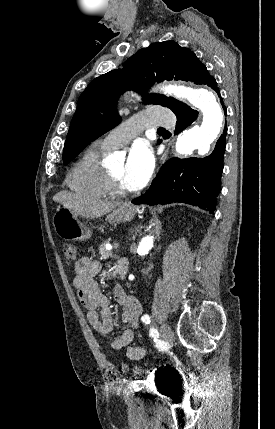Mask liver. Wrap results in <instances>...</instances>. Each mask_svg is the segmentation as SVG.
I'll return each mask as SVG.
<instances>
[{"label": "liver", "instance_id": "6515ba94", "mask_svg": "<svg viewBox=\"0 0 275 429\" xmlns=\"http://www.w3.org/2000/svg\"><path fill=\"white\" fill-rule=\"evenodd\" d=\"M55 202L61 203L64 207L70 209L74 214L98 218L120 205L119 202H109L96 199H85L79 195L63 190L53 196Z\"/></svg>", "mask_w": 275, "mask_h": 429}]
</instances>
